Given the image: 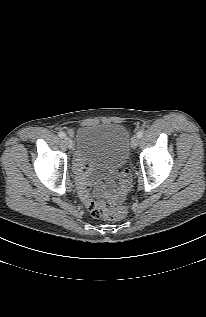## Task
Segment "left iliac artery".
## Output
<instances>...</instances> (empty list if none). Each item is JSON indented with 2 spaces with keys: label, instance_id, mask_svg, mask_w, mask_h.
I'll list each match as a JSON object with an SVG mask.
<instances>
[{
  "label": "left iliac artery",
  "instance_id": "obj_1",
  "mask_svg": "<svg viewBox=\"0 0 206 317\" xmlns=\"http://www.w3.org/2000/svg\"><path fill=\"white\" fill-rule=\"evenodd\" d=\"M137 136H138L139 138H141V137L143 136V130H139V131L137 132Z\"/></svg>",
  "mask_w": 206,
  "mask_h": 317
}]
</instances>
